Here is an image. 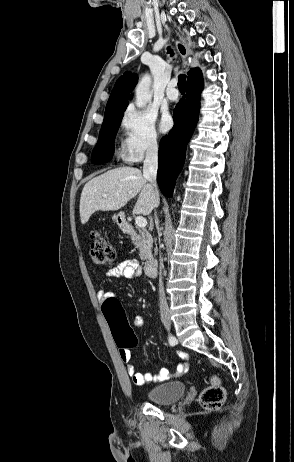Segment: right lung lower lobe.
Segmentation results:
<instances>
[{
    "mask_svg": "<svg viewBox=\"0 0 294 462\" xmlns=\"http://www.w3.org/2000/svg\"><path fill=\"white\" fill-rule=\"evenodd\" d=\"M202 89V74L187 80L185 99L176 105L173 112L174 127L160 143L157 179L167 197H172L176 178L184 164L187 143L198 121Z\"/></svg>",
    "mask_w": 294,
    "mask_h": 462,
    "instance_id": "1",
    "label": "right lung lower lobe"
}]
</instances>
